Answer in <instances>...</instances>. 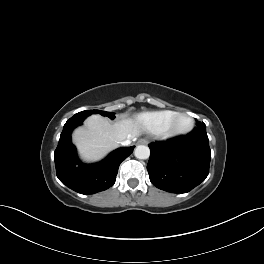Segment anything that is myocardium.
I'll list each match as a JSON object with an SVG mask.
<instances>
[{
	"instance_id": "1",
	"label": "myocardium",
	"mask_w": 264,
	"mask_h": 264,
	"mask_svg": "<svg viewBox=\"0 0 264 264\" xmlns=\"http://www.w3.org/2000/svg\"><path fill=\"white\" fill-rule=\"evenodd\" d=\"M180 117H186L189 120V124L185 128H178L176 126V121ZM194 127V119L185 112H177L169 122V124L166 126V128L163 130L162 135L166 138H174L186 135L192 131Z\"/></svg>"
}]
</instances>
